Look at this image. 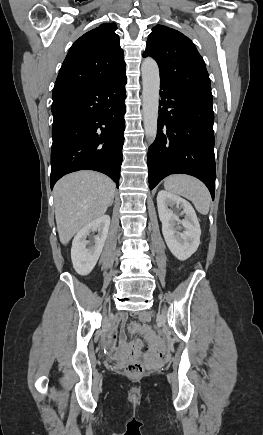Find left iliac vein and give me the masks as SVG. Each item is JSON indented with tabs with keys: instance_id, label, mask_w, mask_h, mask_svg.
Masks as SVG:
<instances>
[{
	"instance_id": "4c4485c4",
	"label": "left iliac vein",
	"mask_w": 263,
	"mask_h": 435,
	"mask_svg": "<svg viewBox=\"0 0 263 435\" xmlns=\"http://www.w3.org/2000/svg\"><path fill=\"white\" fill-rule=\"evenodd\" d=\"M162 316H163V318H165V311H163V314H162Z\"/></svg>"
}]
</instances>
